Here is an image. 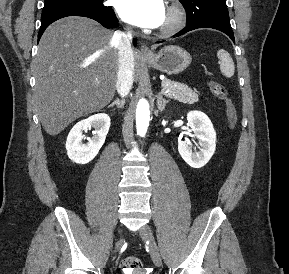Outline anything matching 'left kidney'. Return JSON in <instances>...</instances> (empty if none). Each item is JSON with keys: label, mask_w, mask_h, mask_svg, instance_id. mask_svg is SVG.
<instances>
[{"label": "left kidney", "mask_w": 289, "mask_h": 274, "mask_svg": "<svg viewBox=\"0 0 289 274\" xmlns=\"http://www.w3.org/2000/svg\"><path fill=\"white\" fill-rule=\"evenodd\" d=\"M188 125L199 140V151H193L188 141L178 144V151L184 161L193 168H201L213 156L216 149V132L206 114L191 111L187 114Z\"/></svg>", "instance_id": "1"}]
</instances>
